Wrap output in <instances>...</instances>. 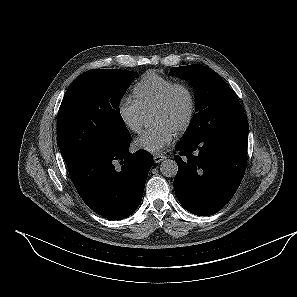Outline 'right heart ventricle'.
<instances>
[{"label": "right heart ventricle", "mask_w": 297, "mask_h": 297, "mask_svg": "<svg viewBox=\"0 0 297 297\" xmlns=\"http://www.w3.org/2000/svg\"><path fill=\"white\" fill-rule=\"evenodd\" d=\"M174 80L156 72L145 73L133 86L135 101L143 111H147L159 101Z\"/></svg>", "instance_id": "1"}]
</instances>
